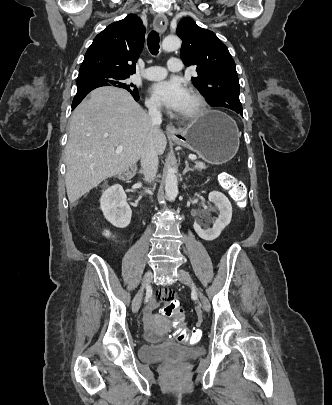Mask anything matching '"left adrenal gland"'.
<instances>
[{
	"label": "left adrenal gland",
	"mask_w": 332,
	"mask_h": 405,
	"mask_svg": "<svg viewBox=\"0 0 332 405\" xmlns=\"http://www.w3.org/2000/svg\"><path fill=\"white\" fill-rule=\"evenodd\" d=\"M189 171H192V169L191 168H189V164H188V162L187 161H185V169H184V171H183V175H185L187 172H189Z\"/></svg>",
	"instance_id": "obj_1"
}]
</instances>
